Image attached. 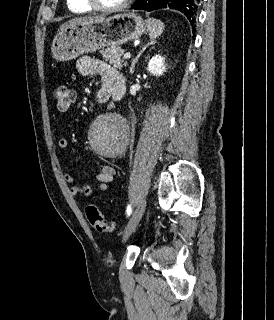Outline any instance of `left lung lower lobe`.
<instances>
[{"mask_svg":"<svg viewBox=\"0 0 274 320\" xmlns=\"http://www.w3.org/2000/svg\"><path fill=\"white\" fill-rule=\"evenodd\" d=\"M200 0H137L131 9L152 11L170 8L182 12L191 24L195 21Z\"/></svg>","mask_w":274,"mask_h":320,"instance_id":"obj_1","label":"left lung lower lobe"}]
</instances>
